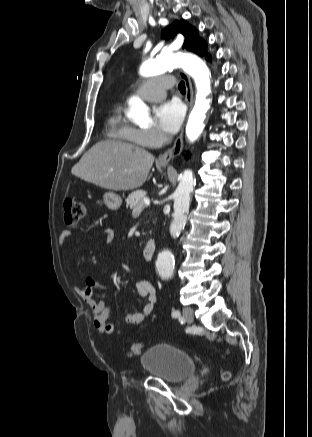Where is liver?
Returning <instances> with one entry per match:
<instances>
[{
  "instance_id": "1",
  "label": "liver",
  "mask_w": 312,
  "mask_h": 437,
  "mask_svg": "<svg viewBox=\"0 0 312 437\" xmlns=\"http://www.w3.org/2000/svg\"><path fill=\"white\" fill-rule=\"evenodd\" d=\"M154 156L124 142L105 140L93 145L75 164V176L110 190H131L150 179Z\"/></svg>"
}]
</instances>
